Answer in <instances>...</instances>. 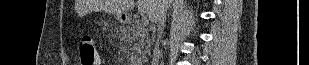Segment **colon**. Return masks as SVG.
Instances as JSON below:
<instances>
[{
	"label": "colon",
	"instance_id": "obj_1",
	"mask_svg": "<svg viewBox=\"0 0 309 65\" xmlns=\"http://www.w3.org/2000/svg\"><path fill=\"white\" fill-rule=\"evenodd\" d=\"M81 65H98L99 56L90 36H82L79 41Z\"/></svg>",
	"mask_w": 309,
	"mask_h": 65
}]
</instances>
